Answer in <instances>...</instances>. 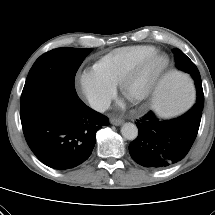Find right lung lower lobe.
Masks as SVG:
<instances>
[{"mask_svg":"<svg viewBox=\"0 0 215 215\" xmlns=\"http://www.w3.org/2000/svg\"><path fill=\"white\" fill-rule=\"evenodd\" d=\"M108 123L106 116L78 98L74 88L44 105L37 116L22 127L30 149L42 163L66 170L88 159L96 132Z\"/></svg>","mask_w":215,"mask_h":215,"instance_id":"right-lung-lower-lobe-1","label":"right lung lower lobe"}]
</instances>
